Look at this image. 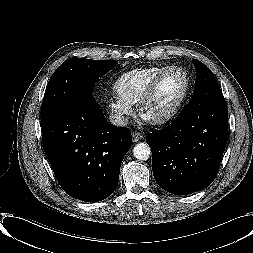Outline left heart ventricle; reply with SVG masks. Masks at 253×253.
<instances>
[{"label":"left heart ventricle","instance_id":"b2bd125f","mask_svg":"<svg viewBox=\"0 0 253 253\" xmlns=\"http://www.w3.org/2000/svg\"><path fill=\"white\" fill-rule=\"evenodd\" d=\"M184 87L185 80L182 73L173 71L167 74L149 103L146 114L155 117L170 111L182 95Z\"/></svg>","mask_w":253,"mask_h":253}]
</instances>
